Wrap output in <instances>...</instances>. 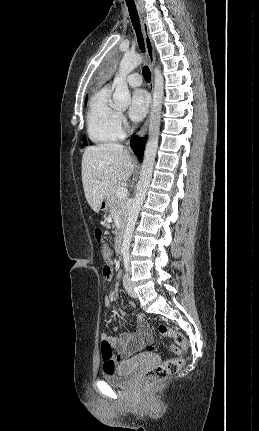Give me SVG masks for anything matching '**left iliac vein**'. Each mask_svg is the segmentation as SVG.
Returning <instances> with one entry per match:
<instances>
[{
	"mask_svg": "<svg viewBox=\"0 0 259 431\" xmlns=\"http://www.w3.org/2000/svg\"><path fill=\"white\" fill-rule=\"evenodd\" d=\"M123 283H124V287L127 291V293L132 297V298H137V294L133 289L132 283H131V279L128 273H126L124 275L123 278Z\"/></svg>",
	"mask_w": 259,
	"mask_h": 431,
	"instance_id": "left-iliac-vein-1",
	"label": "left iliac vein"
}]
</instances>
